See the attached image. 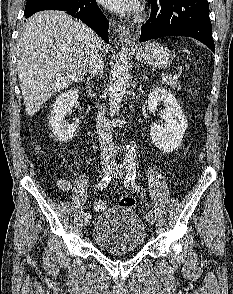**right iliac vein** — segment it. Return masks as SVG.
I'll return each mask as SVG.
<instances>
[{
  "label": "right iliac vein",
  "instance_id": "63e3f726",
  "mask_svg": "<svg viewBox=\"0 0 233 294\" xmlns=\"http://www.w3.org/2000/svg\"><path fill=\"white\" fill-rule=\"evenodd\" d=\"M112 173V167L109 165H104L102 167V175L107 176L110 175ZM91 222V217L85 218L84 220V224L85 226H88Z\"/></svg>",
  "mask_w": 233,
  "mask_h": 294
}]
</instances>
